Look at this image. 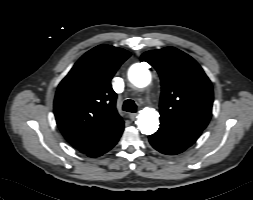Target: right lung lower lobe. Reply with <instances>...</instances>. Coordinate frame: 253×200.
Listing matches in <instances>:
<instances>
[{
    "mask_svg": "<svg viewBox=\"0 0 253 200\" xmlns=\"http://www.w3.org/2000/svg\"><path fill=\"white\" fill-rule=\"evenodd\" d=\"M121 135L117 136L115 139H113L108 145H106L105 147L98 149L92 153L87 154V156L89 157H99L102 154L108 152L111 148H113L115 146V144L117 143V141L119 140Z\"/></svg>",
    "mask_w": 253,
    "mask_h": 200,
    "instance_id": "1",
    "label": "right lung lower lobe"
}]
</instances>
